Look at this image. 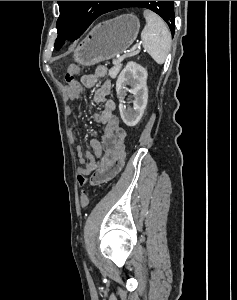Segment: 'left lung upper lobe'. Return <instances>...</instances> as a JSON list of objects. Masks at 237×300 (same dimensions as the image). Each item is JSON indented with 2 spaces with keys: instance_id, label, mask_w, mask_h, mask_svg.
Returning a JSON list of instances; mask_svg holds the SVG:
<instances>
[{
  "instance_id": "5c2ea615",
  "label": "left lung upper lobe",
  "mask_w": 237,
  "mask_h": 300,
  "mask_svg": "<svg viewBox=\"0 0 237 300\" xmlns=\"http://www.w3.org/2000/svg\"><path fill=\"white\" fill-rule=\"evenodd\" d=\"M112 1H58L60 16L57 20L58 37L55 48L67 39H78L90 24L102 14ZM141 7L161 16L170 30H175L174 1L160 6V1H122L121 8Z\"/></svg>"
}]
</instances>
